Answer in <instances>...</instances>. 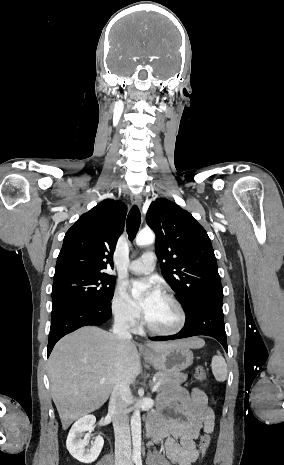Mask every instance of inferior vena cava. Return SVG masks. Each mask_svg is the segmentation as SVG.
<instances>
[{
    "mask_svg": "<svg viewBox=\"0 0 284 465\" xmlns=\"http://www.w3.org/2000/svg\"><path fill=\"white\" fill-rule=\"evenodd\" d=\"M113 335L120 339L131 341L127 315H118L113 325ZM130 389L128 383H116L109 401V415L115 433V465H130L131 437L128 417V405L130 401Z\"/></svg>",
    "mask_w": 284,
    "mask_h": 465,
    "instance_id": "obj_1",
    "label": "inferior vena cava"
}]
</instances>
